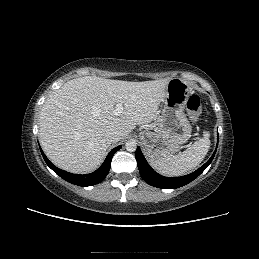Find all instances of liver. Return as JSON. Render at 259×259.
I'll return each mask as SVG.
<instances>
[{"label": "liver", "instance_id": "obj_1", "mask_svg": "<svg viewBox=\"0 0 259 259\" xmlns=\"http://www.w3.org/2000/svg\"><path fill=\"white\" fill-rule=\"evenodd\" d=\"M170 79L129 82L86 76L66 82L45 101L39 139L47 157L71 173H90L103 162L117 130L124 139L156 119ZM123 112L114 115L117 104ZM120 139V140H121Z\"/></svg>", "mask_w": 259, "mask_h": 259}]
</instances>
